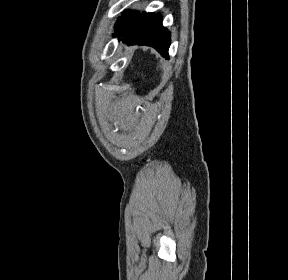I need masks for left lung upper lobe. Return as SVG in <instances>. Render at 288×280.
I'll list each match as a JSON object with an SVG mask.
<instances>
[{"label": "left lung upper lobe", "mask_w": 288, "mask_h": 280, "mask_svg": "<svg viewBox=\"0 0 288 280\" xmlns=\"http://www.w3.org/2000/svg\"><path fill=\"white\" fill-rule=\"evenodd\" d=\"M136 11L126 10L121 17L118 18V21L115 24V34L116 35L123 26L127 23V21L130 19V17L135 13Z\"/></svg>", "instance_id": "left-lung-upper-lobe-1"}]
</instances>
